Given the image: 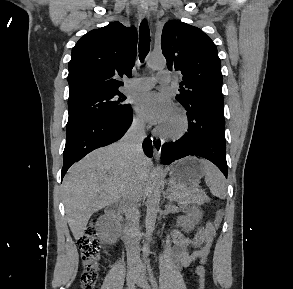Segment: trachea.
Here are the masks:
<instances>
[{"label": "trachea", "instance_id": "trachea-1", "mask_svg": "<svg viewBox=\"0 0 293 289\" xmlns=\"http://www.w3.org/2000/svg\"><path fill=\"white\" fill-rule=\"evenodd\" d=\"M150 49V32L147 20L144 19L139 29V58L143 62Z\"/></svg>", "mask_w": 293, "mask_h": 289}]
</instances>
